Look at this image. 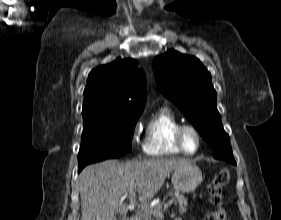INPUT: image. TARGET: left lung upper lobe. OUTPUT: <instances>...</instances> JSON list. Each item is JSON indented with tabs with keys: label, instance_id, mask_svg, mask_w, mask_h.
Masks as SVG:
<instances>
[{
	"label": "left lung upper lobe",
	"instance_id": "1",
	"mask_svg": "<svg viewBox=\"0 0 281 220\" xmlns=\"http://www.w3.org/2000/svg\"><path fill=\"white\" fill-rule=\"evenodd\" d=\"M153 70L160 92L195 126L214 157L236 164L217 110L211 74L199 59L169 50L154 59Z\"/></svg>",
	"mask_w": 281,
	"mask_h": 220
}]
</instances>
